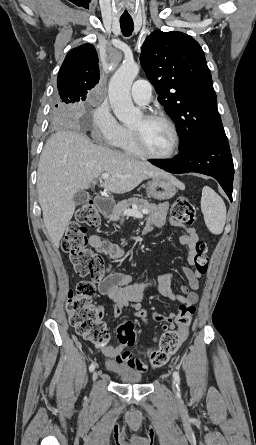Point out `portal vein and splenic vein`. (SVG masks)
<instances>
[{"instance_id": "1", "label": "portal vein and splenic vein", "mask_w": 256, "mask_h": 445, "mask_svg": "<svg viewBox=\"0 0 256 445\" xmlns=\"http://www.w3.org/2000/svg\"><path fill=\"white\" fill-rule=\"evenodd\" d=\"M101 177L103 180H105V179L109 178L110 175L108 173H103L101 175ZM146 213H147V210L139 211L137 209H130V210H124L122 214H123V216H133L135 218H143V214H146Z\"/></svg>"}]
</instances>
